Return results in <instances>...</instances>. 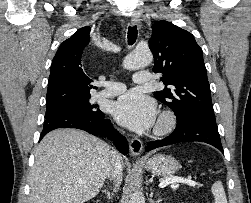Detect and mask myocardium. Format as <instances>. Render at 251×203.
I'll list each match as a JSON object with an SVG mask.
<instances>
[{
	"label": "myocardium",
	"instance_id": "myocardium-1",
	"mask_svg": "<svg viewBox=\"0 0 251 203\" xmlns=\"http://www.w3.org/2000/svg\"><path fill=\"white\" fill-rule=\"evenodd\" d=\"M176 125V116L172 111H163L156 122L154 134L164 136L170 133Z\"/></svg>",
	"mask_w": 251,
	"mask_h": 203
}]
</instances>
